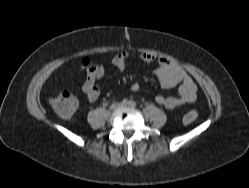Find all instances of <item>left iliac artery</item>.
Masks as SVG:
<instances>
[{"label": "left iliac artery", "instance_id": "1", "mask_svg": "<svg viewBox=\"0 0 249 188\" xmlns=\"http://www.w3.org/2000/svg\"><path fill=\"white\" fill-rule=\"evenodd\" d=\"M129 105H130L131 107H136L137 104H136L135 101H132V100H131V101L129 102Z\"/></svg>", "mask_w": 249, "mask_h": 188}]
</instances>
